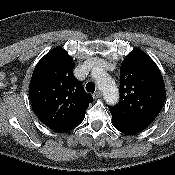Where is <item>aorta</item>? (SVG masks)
Instances as JSON below:
<instances>
[{
  "instance_id": "obj_1",
  "label": "aorta",
  "mask_w": 175,
  "mask_h": 175,
  "mask_svg": "<svg viewBox=\"0 0 175 175\" xmlns=\"http://www.w3.org/2000/svg\"><path fill=\"white\" fill-rule=\"evenodd\" d=\"M92 76L102 91L105 101L110 105L116 104L119 92L114 80L102 68H94Z\"/></svg>"
}]
</instances>
